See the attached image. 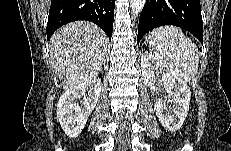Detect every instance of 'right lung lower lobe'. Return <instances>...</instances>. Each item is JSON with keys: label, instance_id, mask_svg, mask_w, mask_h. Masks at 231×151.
Instances as JSON below:
<instances>
[{"label": "right lung lower lobe", "instance_id": "right-lung-lower-lobe-1", "mask_svg": "<svg viewBox=\"0 0 231 151\" xmlns=\"http://www.w3.org/2000/svg\"><path fill=\"white\" fill-rule=\"evenodd\" d=\"M115 0H52L48 23L47 39L54 31L76 20H86L100 26L111 40L114 21Z\"/></svg>", "mask_w": 231, "mask_h": 151}]
</instances>
